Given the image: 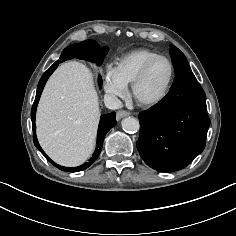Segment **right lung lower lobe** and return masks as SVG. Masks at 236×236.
Wrapping results in <instances>:
<instances>
[{"label":"right lung lower lobe","mask_w":236,"mask_h":236,"mask_svg":"<svg viewBox=\"0 0 236 236\" xmlns=\"http://www.w3.org/2000/svg\"><path fill=\"white\" fill-rule=\"evenodd\" d=\"M107 52H108L107 47L99 48V45L97 44V42H95L93 40H86V41H83L79 44H73V45L67 47L66 49H64V51L62 52V54L60 56V59L57 60L43 74V76L41 77V79L38 83L35 101H34V104H33L32 110H31V119H32V127H33V142H34L35 146L41 151V153L47 158V160L62 171L78 172V171L85 170L98 158V156L102 150L103 138L105 137L106 133L117 124L116 113L112 112V113L105 114V115L101 116L99 128H98V134H97L96 150H95L94 154L92 155L91 159L89 160V162H87L81 166L74 167V168L63 167V166L57 165L44 153V151L42 150V148L40 147V145L38 143L36 133H35V130H36L35 113H36L37 105H38L41 93L43 91L44 85H45L47 79L49 78V76L54 72V70L58 67V65L61 62H64L68 59H72V58L76 57L79 59H87L91 62H96L97 65H100ZM99 85L100 86L102 85L101 77L99 78Z\"/></svg>","instance_id":"obj_1"}]
</instances>
